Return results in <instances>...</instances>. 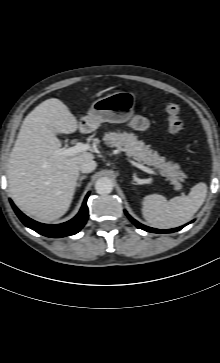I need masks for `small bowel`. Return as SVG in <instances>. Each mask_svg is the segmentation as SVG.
I'll use <instances>...</instances> for the list:
<instances>
[{"instance_id": "c3829d8e", "label": "small bowel", "mask_w": 220, "mask_h": 363, "mask_svg": "<svg viewBox=\"0 0 220 363\" xmlns=\"http://www.w3.org/2000/svg\"><path fill=\"white\" fill-rule=\"evenodd\" d=\"M131 126L137 130H146L149 127V122L142 116H134L131 121Z\"/></svg>"}]
</instances>
